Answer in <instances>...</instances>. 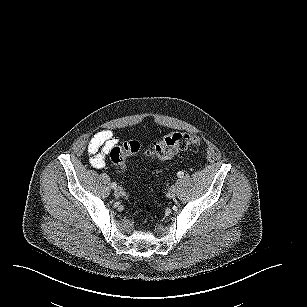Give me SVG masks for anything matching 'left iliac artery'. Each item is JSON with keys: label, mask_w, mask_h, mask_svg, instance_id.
Returning <instances> with one entry per match:
<instances>
[{"label": "left iliac artery", "mask_w": 307, "mask_h": 307, "mask_svg": "<svg viewBox=\"0 0 307 307\" xmlns=\"http://www.w3.org/2000/svg\"><path fill=\"white\" fill-rule=\"evenodd\" d=\"M183 175H184V173H183L182 171H179V172L177 173V176H178L179 178L183 177Z\"/></svg>", "instance_id": "1"}]
</instances>
